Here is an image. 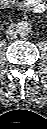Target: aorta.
I'll list each match as a JSON object with an SVG mask.
<instances>
[{"label":"aorta","instance_id":"aorta-1","mask_svg":"<svg viewBox=\"0 0 47 129\" xmlns=\"http://www.w3.org/2000/svg\"><path fill=\"white\" fill-rule=\"evenodd\" d=\"M16 30L20 36H26L31 32V25L27 21H21L17 24Z\"/></svg>","mask_w":47,"mask_h":129}]
</instances>
